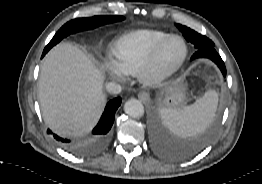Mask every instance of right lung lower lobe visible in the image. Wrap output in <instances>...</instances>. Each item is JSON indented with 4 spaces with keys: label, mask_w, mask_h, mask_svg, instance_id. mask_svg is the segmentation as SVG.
<instances>
[{
    "label": "right lung lower lobe",
    "mask_w": 262,
    "mask_h": 184,
    "mask_svg": "<svg viewBox=\"0 0 262 184\" xmlns=\"http://www.w3.org/2000/svg\"><path fill=\"white\" fill-rule=\"evenodd\" d=\"M121 104V98L116 97L110 100L103 112L100 121L92 131V137L88 141L85 147H81L77 144L70 143V140L62 139L54 134V138L65 145L66 148L71 151H86V152H97L103 149L109 142L110 129L114 122L115 112ZM48 133H51L48 130Z\"/></svg>",
    "instance_id": "right-lung-lower-lobe-1"
}]
</instances>
